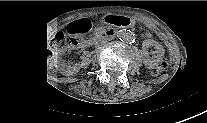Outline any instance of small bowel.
<instances>
[{
	"mask_svg": "<svg viewBox=\"0 0 207 123\" xmlns=\"http://www.w3.org/2000/svg\"><path fill=\"white\" fill-rule=\"evenodd\" d=\"M104 23L109 27L128 28L132 24V19L124 15L106 14L104 16ZM92 26L93 20L90 17H81L69 24V31L75 34H81L89 30ZM153 46L156 49V53L146 60L148 65H151L155 59L161 55V51L158 50L155 45Z\"/></svg>",
	"mask_w": 207,
	"mask_h": 123,
	"instance_id": "1",
	"label": "small bowel"
}]
</instances>
